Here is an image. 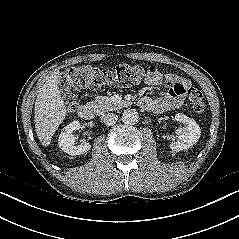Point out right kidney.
Segmentation results:
<instances>
[{
	"label": "right kidney",
	"mask_w": 239,
	"mask_h": 239,
	"mask_svg": "<svg viewBox=\"0 0 239 239\" xmlns=\"http://www.w3.org/2000/svg\"><path fill=\"white\" fill-rule=\"evenodd\" d=\"M79 128L80 122L78 120H74L69 125L64 127L59 135L58 145L69 155H81L87 153L91 149V145L89 143L75 146V137L73 135V131L78 130Z\"/></svg>",
	"instance_id": "obj_1"
}]
</instances>
